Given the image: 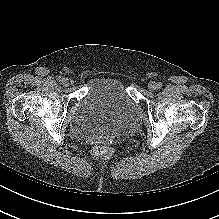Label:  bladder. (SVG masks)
<instances>
[{"instance_id":"31cf9c89","label":"bladder","mask_w":219,"mask_h":219,"mask_svg":"<svg viewBox=\"0 0 219 219\" xmlns=\"http://www.w3.org/2000/svg\"><path fill=\"white\" fill-rule=\"evenodd\" d=\"M140 122L141 108L125 84L115 76L103 75L90 83L68 127L76 138L106 141L134 130Z\"/></svg>"}]
</instances>
